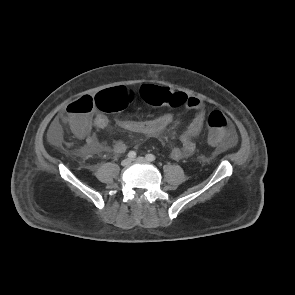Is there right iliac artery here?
I'll list each match as a JSON object with an SVG mask.
<instances>
[{
  "label": "right iliac artery",
  "instance_id": "obj_1",
  "mask_svg": "<svg viewBox=\"0 0 295 295\" xmlns=\"http://www.w3.org/2000/svg\"><path fill=\"white\" fill-rule=\"evenodd\" d=\"M127 156H128L129 159H134L136 157V152L135 151H130Z\"/></svg>",
  "mask_w": 295,
  "mask_h": 295
}]
</instances>
